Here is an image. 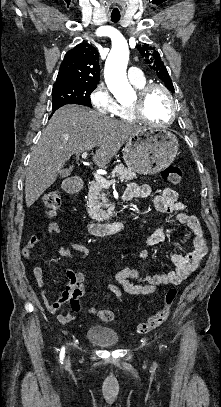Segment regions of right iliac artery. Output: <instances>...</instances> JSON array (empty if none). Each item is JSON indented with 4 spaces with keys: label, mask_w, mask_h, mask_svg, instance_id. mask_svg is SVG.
Returning <instances> with one entry per match:
<instances>
[{
    "label": "right iliac artery",
    "mask_w": 221,
    "mask_h": 407,
    "mask_svg": "<svg viewBox=\"0 0 221 407\" xmlns=\"http://www.w3.org/2000/svg\"><path fill=\"white\" fill-rule=\"evenodd\" d=\"M64 347H62L61 352H60V361H63L64 358Z\"/></svg>",
    "instance_id": "right-iliac-artery-1"
}]
</instances>
